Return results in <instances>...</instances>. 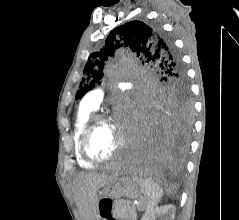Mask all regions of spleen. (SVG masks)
I'll return each mask as SVG.
<instances>
[{
    "label": "spleen",
    "mask_w": 239,
    "mask_h": 220,
    "mask_svg": "<svg viewBox=\"0 0 239 220\" xmlns=\"http://www.w3.org/2000/svg\"><path fill=\"white\" fill-rule=\"evenodd\" d=\"M133 180L140 186L143 197L137 204L139 211L154 208L163 196L161 187L150 178L133 176Z\"/></svg>",
    "instance_id": "spleen-1"
}]
</instances>
